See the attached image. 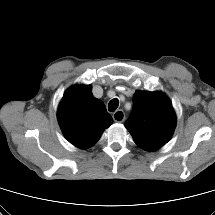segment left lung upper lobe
Returning a JSON list of instances; mask_svg holds the SVG:
<instances>
[{"instance_id":"5c2ea615","label":"left lung upper lobe","mask_w":215,"mask_h":215,"mask_svg":"<svg viewBox=\"0 0 215 215\" xmlns=\"http://www.w3.org/2000/svg\"><path fill=\"white\" fill-rule=\"evenodd\" d=\"M176 125L170 100L161 92L136 91L133 110L125 127L134 142L146 151H155L167 143Z\"/></svg>"}]
</instances>
